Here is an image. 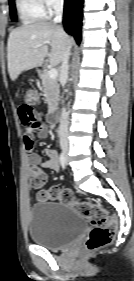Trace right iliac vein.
Returning <instances> with one entry per match:
<instances>
[{"label":"right iliac vein","mask_w":134,"mask_h":281,"mask_svg":"<svg viewBox=\"0 0 134 281\" xmlns=\"http://www.w3.org/2000/svg\"><path fill=\"white\" fill-rule=\"evenodd\" d=\"M63 151L66 153L67 152V148H63Z\"/></svg>","instance_id":"1"}]
</instances>
